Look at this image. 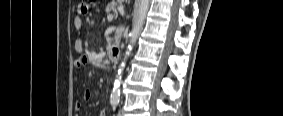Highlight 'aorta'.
<instances>
[{
  "instance_id": "obj_1",
  "label": "aorta",
  "mask_w": 283,
  "mask_h": 116,
  "mask_svg": "<svg viewBox=\"0 0 283 116\" xmlns=\"http://www.w3.org/2000/svg\"><path fill=\"white\" fill-rule=\"evenodd\" d=\"M149 6H150V0H139L137 17L134 22L132 31L130 33L129 45L126 50L125 58L119 65L118 72L114 81V86L110 97L112 103H118L120 100V85L122 79V72L126 65V59L130 56L131 51L136 43L137 37L143 27L147 12L149 10Z\"/></svg>"
}]
</instances>
